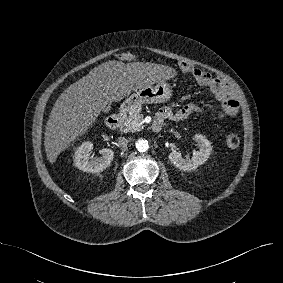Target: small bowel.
Returning <instances> with one entry per match:
<instances>
[{
	"mask_svg": "<svg viewBox=\"0 0 283 283\" xmlns=\"http://www.w3.org/2000/svg\"><path fill=\"white\" fill-rule=\"evenodd\" d=\"M188 72L193 74L200 85L207 86L212 90L215 97L220 102L219 109H207L199 103H188L177 111L168 107L162 108L158 111L156 116L161 118L162 121L167 119L178 122L186 120L195 114L206 112H209L217 119L236 115L239 109V103L227 85H225L218 77L212 76L207 71L190 68Z\"/></svg>",
	"mask_w": 283,
	"mask_h": 283,
	"instance_id": "small-bowel-1",
	"label": "small bowel"
}]
</instances>
